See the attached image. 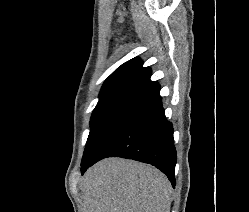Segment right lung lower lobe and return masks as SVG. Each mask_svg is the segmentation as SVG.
<instances>
[{
	"label": "right lung lower lobe",
	"instance_id": "1",
	"mask_svg": "<svg viewBox=\"0 0 249 212\" xmlns=\"http://www.w3.org/2000/svg\"><path fill=\"white\" fill-rule=\"evenodd\" d=\"M159 91L137 97L118 115L81 164L82 174L103 158L122 157L155 166L175 187L173 127L165 118Z\"/></svg>",
	"mask_w": 249,
	"mask_h": 212
}]
</instances>
